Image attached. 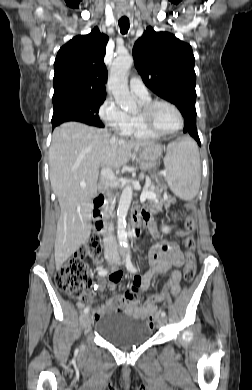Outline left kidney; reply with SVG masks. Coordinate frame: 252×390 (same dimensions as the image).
Masks as SVG:
<instances>
[{"instance_id":"obj_1","label":"left kidney","mask_w":252,"mask_h":390,"mask_svg":"<svg viewBox=\"0 0 252 390\" xmlns=\"http://www.w3.org/2000/svg\"><path fill=\"white\" fill-rule=\"evenodd\" d=\"M162 232H164L165 234L169 233L170 232V228L168 226H162Z\"/></svg>"}]
</instances>
